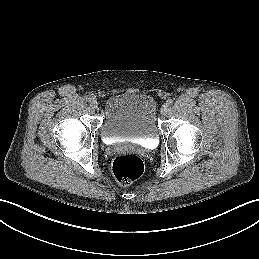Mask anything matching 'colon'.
<instances>
[{"label": "colon", "instance_id": "obj_1", "mask_svg": "<svg viewBox=\"0 0 259 259\" xmlns=\"http://www.w3.org/2000/svg\"><path fill=\"white\" fill-rule=\"evenodd\" d=\"M143 162L135 154H122L114 158L112 173L116 181L126 186L138 179L143 173Z\"/></svg>", "mask_w": 259, "mask_h": 259}]
</instances>
